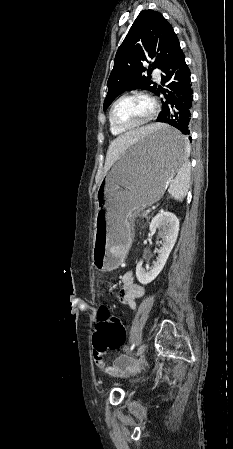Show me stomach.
Returning a JSON list of instances; mask_svg holds the SVG:
<instances>
[{
    "label": "stomach",
    "instance_id": "1",
    "mask_svg": "<svg viewBox=\"0 0 233 449\" xmlns=\"http://www.w3.org/2000/svg\"><path fill=\"white\" fill-rule=\"evenodd\" d=\"M188 143L179 128L161 125L133 143L108 171L98 192L93 263L111 271L121 263L136 213L157 202L187 160Z\"/></svg>",
    "mask_w": 233,
    "mask_h": 449
}]
</instances>
